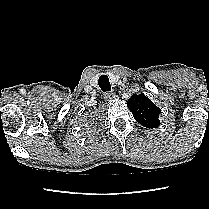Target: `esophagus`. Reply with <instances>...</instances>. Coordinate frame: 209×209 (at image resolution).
Masks as SVG:
<instances>
[{
  "mask_svg": "<svg viewBox=\"0 0 209 209\" xmlns=\"http://www.w3.org/2000/svg\"><path fill=\"white\" fill-rule=\"evenodd\" d=\"M104 98L108 101L113 100L116 98V94L114 92H106L104 94Z\"/></svg>",
  "mask_w": 209,
  "mask_h": 209,
  "instance_id": "esophagus-1",
  "label": "esophagus"
}]
</instances>
